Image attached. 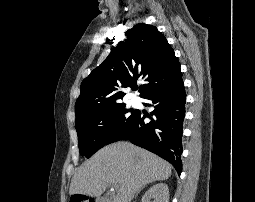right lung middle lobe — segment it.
Instances as JSON below:
<instances>
[{
	"instance_id": "right-lung-middle-lobe-1",
	"label": "right lung middle lobe",
	"mask_w": 255,
	"mask_h": 202,
	"mask_svg": "<svg viewBox=\"0 0 255 202\" xmlns=\"http://www.w3.org/2000/svg\"><path fill=\"white\" fill-rule=\"evenodd\" d=\"M138 111L116 103L76 119L80 154L91 157L100 148L119 141L130 129Z\"/></svg>"
}]
</instances>
